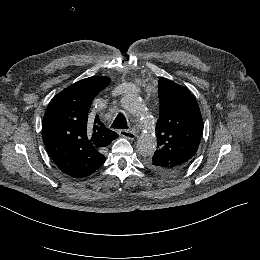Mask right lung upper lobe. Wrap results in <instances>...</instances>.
<instances>
[{
  "instance_id": "obj_1",
  "label": "right lung upper lobe",
  "mask_w": 260,
  "mask_h": 260,
  "mask_svg": "<svg viewBox=\"0 0 260 260\" xmlns=\"http://www.w3.org/2000/svg\"><path fill=\"white\" fill-rule=\"evenodd\" d=\"M109 83L108 77L80 80L57 94L45 112L44 145L65 174L76 178L92 174L105 161L104 148L118 138L98 116L88 115L92 100Z\"/></svg>"
}]
</instances>
